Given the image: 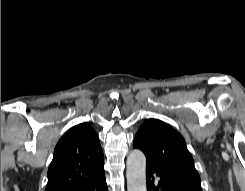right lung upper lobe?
I'll return each instance as SVG.
<instances>
[{"mask_svg":"<svg viewBox=\"0 0 245 191\" xmlns=\"http://www.w3.org/2000/svg\"><path fill=\"white\" fill-rule=\"evenodd\" d=\"M103 175L104 157L98 136L89 125L79 124L55 147L46 191H69Z\"/></svg>","mask_w":245,"mask_h":191,"instance_id":"cb5924a9","label":"right lung upper lobe"}]
</instances>
